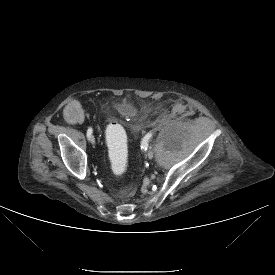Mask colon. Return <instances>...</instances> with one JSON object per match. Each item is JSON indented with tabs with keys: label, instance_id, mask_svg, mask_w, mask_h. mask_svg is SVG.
<instances>
[{
	"label": "colon",
	"instance_id": "1",
	"mask_svg": "<svg viewBox=\"0 0 275 275\" xmlns=\"http://www.w3.org/2000/svg\"><path fill=\"white\" fill-rule=\"evenodd\" d=\"M107 141L111 170L114 175L121 176L127 170V143L124 131L119 126L109 125Z\"/></svg>",
	"mask_w": 275,
	"mask_h": 275
}]
</instances>
